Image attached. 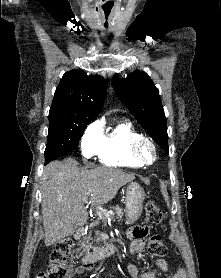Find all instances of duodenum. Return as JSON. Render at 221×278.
<instances>
[{
  "mask_svg": "<svg viewBox=\"0 0 221 278\" xmlns=\"http://www.w3.org/2000/svg\"><path fill=\"white\" fill-rule=\"evenodd\" d=\"M84 233V229L80 228L78 229L74 237L76 239H79ZM116 252V245L112 241H106L104 245L100 248L94 249L93 251L87 253L82 262H83V268L90 270L94 267L95 262H97L102 257H108Z\"/></svg>",
  "mask_w": 221,
  "mask_h": 278,
  "instance_id": "obj_1",
  "label": "duodenum"
}]
</instances>
